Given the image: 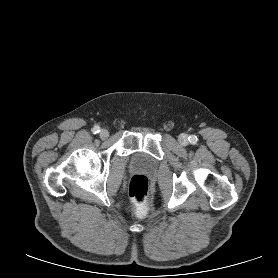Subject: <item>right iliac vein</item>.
Returning <instances> with one entry per match:
<instances>
[{
  "mask_svg": "<svg viewBox=\"0 0 278 278\" xmlns=\"http://www.w3.org/2000/svg\"><path fill=\"white\" fill-rule=\"evenodd\" d=\"M99 135H100V138L104 140V139H107L109 137V132L106 129H102L100 131Z\"/></svg>",
  "mask_w": 278,
  "mask_h": 278,
  "instance_id": "right-iliac-vein-1",
  "label": "right iliac vein"
}]
</instances>
